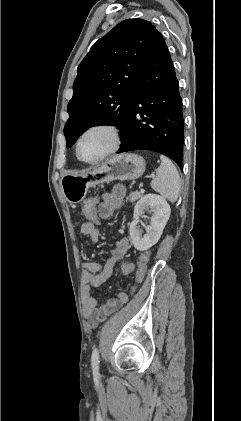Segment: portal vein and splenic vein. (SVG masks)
<instances>
[{"instance_id": "18ae733b", "label": "portal vein and splenic vein", "mask_w": 241, "mask_h": 421, "mask_svg": "<svg viewBox=\"0 0 241 421\" xmlns=\"http://www.w3.org/2000/svg\"><path fill=\"white\" fill-rule=\"evenodd\" d=\"M154 176H155L154 174H151V175L149 176V178H154ZM140 191H141V193H144V192H145V190H144V189H141Z\"/></svg>"}]
</instances>
